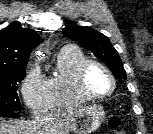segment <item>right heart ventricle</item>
I'll return each mask as SVG.
<instances>
[{
	"label": "right heart ventricle",
	"mask_w": 153,
	"mask_h": 134,
	"mask_svg": "<svg viewBox=\"0 0 153 134\" xmlns=\"http://www.w3.org/2000/svg\"><path fill=\"white\" fill-rule=\"evenodd\" d=\"M85 60V54L75 46H66L59 51L58 72L47 80L48 109L73 107L87 101L78 93L75 83L76 71Z\"/></svg>",
	"instance_id": "1"
}]
</instances>
